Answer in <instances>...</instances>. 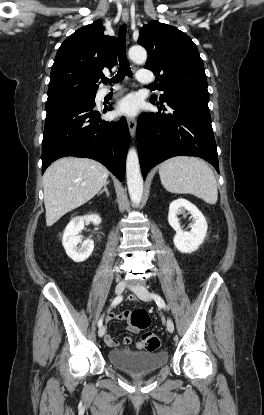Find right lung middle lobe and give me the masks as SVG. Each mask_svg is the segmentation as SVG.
Segmentation results:
<instances>
[{
	"label": "right lung middle lobe",
	"instance_id": "1",
	"mask_svg": "<svg viewBox=\"0 0 264 415\" xmlns=\"http://www.w3.org/2000/svg\"><path fill=\"white\" fill-rule=\"evenodd\" d=\"M95 94L91 95H78L69 94L56 98L47 99L46 108L64 105V104H95Z\"/></svg>",
	"mask_w": 264,
	"mask_h": 415
}]
</instances>
